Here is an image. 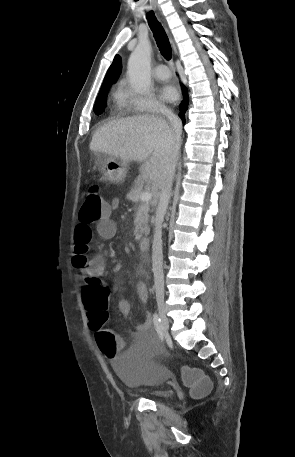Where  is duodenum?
<instances>
[{
    "mask_svg": "<svg viewBox=\"0 0 295 457\" xmlns=\"http://www.w3.org/2000/svg\"><path fill=\"white\" fill-rule=\"evenodd\" d=\"M139 246L143 253H147L150 246V239L148 237H142L139 241Z\"/></svg>",
    "mask_w": 295,
    "mask_h": 457,
    "instance_id": "410a0bca",
    "label": "duodenum"
}]
</instances>
